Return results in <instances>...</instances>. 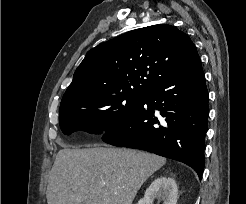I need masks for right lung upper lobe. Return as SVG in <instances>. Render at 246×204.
Wrapping results in <instances>:
<instances>
[{
  "instance_id": "right-lung-upper-lobe-1",
  "label": "right lung upper lobe",
  "mask_w": 246,
  "mask_h": 204,
  "mask_svg": "<svg viewBox=\"0 0 246 204\" xmlns=\"http://www.w3.org/2000/svg\"><path fill=\"white\" fill-rule=\"evenodd\" d=\"M198 59L193 42L174 26L132 30L87 52L60 108L100 95L143 93Z\"/></svg>"
}]
</instances>
